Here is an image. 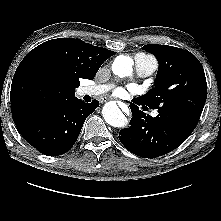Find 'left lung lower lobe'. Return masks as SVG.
<instances>
[{"mask_svg":"<svg viewBox=\"0 0 221 221\" xmlns=\"http://www.w3.org/2000/svg\"><path fill=\"white\" fill-rule=\"evenodd\" d=\"M133 102L139 104L137 99ZM135 104H130L133 113L130 127L120 131L119 139L137 156L155 158L169 153L181 145L195 128L174 116L159 113L153 118Z\"/></svg>","mask_w":221,"mask_h":221,"instance_id":"0a47b994","label":"left lung lower lobe"}]
</instances>
